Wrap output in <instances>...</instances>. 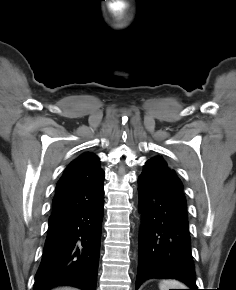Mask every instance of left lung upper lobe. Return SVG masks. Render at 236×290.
<instances>
[{
	"label": "left lung upper lobe",
	"instance_id": "5c2ea615",
	"mask_svg": "<svg viewBox=\"0 0 236 290\" xmlns=\"http://www.w3.org/2000/svg\"><path fill=\"white\" fill-rule=\"evenodd\" d=\"M140 176L165 183L182 191L183 185L175 172L171 170L161 157L148 160Z\"/></svg>",
	"mask_w": 236,
	"mask_h": 290
}]
</instances>
